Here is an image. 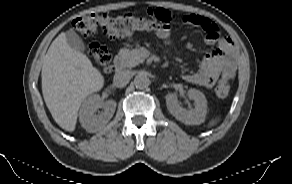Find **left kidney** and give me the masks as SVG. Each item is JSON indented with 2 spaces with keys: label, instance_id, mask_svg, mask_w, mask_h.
<instances>
[{
  "label": "left kidney",
  "instance_id": "1",
  "mask_svg": "<svg viewBox=\"0 0 292 184\" xmlns=\"http://www.w3.org/2000/svg\"><path fill=\"white\" fill-rule=\"evenodd\" d=\"M188 97L189 99L194 100V108H182L174 93H169L165 97L167 108L177 120L187 125H199L204 122L207 114V100L205 95L196 89H189Z\"/></svg>",
  "mask_w": 292,
  "mask_h": 184
}]
</instances>
